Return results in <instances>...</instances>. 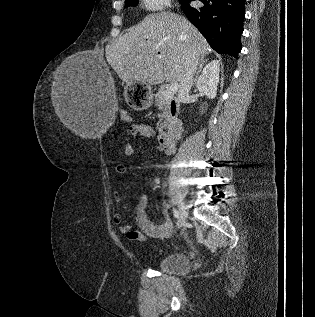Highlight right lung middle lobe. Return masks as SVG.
I'll return each mask as SVG.
<instances>
[{
  "mask_svg": "<svg viewBox=\"0 0 315 317\" xmlns=\"http://www.w3.org/2000/svg\"><path fill=\"white\" fill-rule=\"evenodd\" d=\"M138 4V0H125V5L126 7H129V6H137Z\"/></svg>",
  "mask_w": 315,
  "mask_h": 317,
  "instance_id": "dd1d6c3e",
  "label": "right lung middle lobe"
}]
</instances>
